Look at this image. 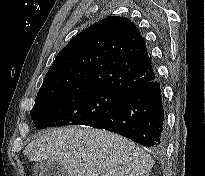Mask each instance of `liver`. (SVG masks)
Listing matches in <instances>:
<instances>
[{
    "instance_id": "6515ba94",
    "label": "liver",
    "mask_w": 205,
    "mask_h": 176,
    "mask_svg": "<svg viewBox=\"0 0 205 176\" xmlns=\"http://www.w3.org/2000/svg\"><path fill=\"white\" fill-rule=\"evenodd\" d=\"M30 160L62 163L69 176H148L153 160L132 141L109 131L69 126L29 143Z\"/></svg>"
}]
</instances>
